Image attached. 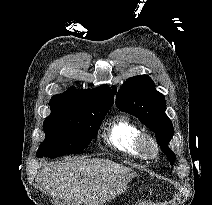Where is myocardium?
Masks as SVG:
<instances>
[{
  "label": "myocardium",
  "mask_w": 212,
  "mask_h": 205,
  "mask_svg": "<svg viewBox=\"0 0 212 205\" xmlns=\"http://www.w3.org/2000/svg\"><path fill=\"white\" fill-rule=\"evenodd\" d=\"M137 147L147 157H155L158 154V147L153 138L148 134H140L137 138Z\"/></svg>",
  "instance_id": "obj_1"
}]
</instances>
